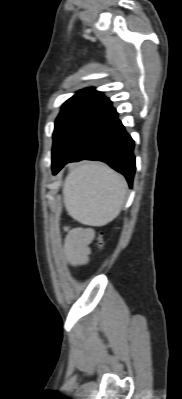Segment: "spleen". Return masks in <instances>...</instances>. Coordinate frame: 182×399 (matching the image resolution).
Wrapping results in <instances>:
<instances>
[{
	"mask_svg": "<svg viewBox=\"0 0 182 399\" xmlns=\"http://www.w3.org/2000/svg\"><path fill=\"white\" fill-rule=\"evenodd\" d=\"M126 193L123 176L101 163L78 165L63 187L68 214L91 226H102L115 219L125 203Z\"/></svg>",
	"mask_w": 182,
	"mask_h": 399,
	"instance_id": "spleen-1",
	"label": "spleen"
}]
</instances>
